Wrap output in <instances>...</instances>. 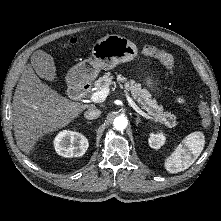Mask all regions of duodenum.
Wrapping results in <instances>:
<instances>
[{"instance_id":"410a0bca","label":"duodenum","mask_w":221,"mask_h":221,"mask_svg":"<svg viewBox=\"0 0 221 221\" xmlns=\"http://www.w3.org/2000/svg\"><path fill=\"white\" fill-rule=\"evenodd\" d=\"M89 90V85L84 82L75 81L70 86V94L73 98H83Z\"/></svg>"}]
</instances>
